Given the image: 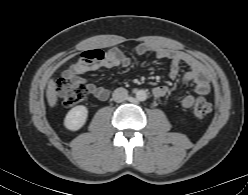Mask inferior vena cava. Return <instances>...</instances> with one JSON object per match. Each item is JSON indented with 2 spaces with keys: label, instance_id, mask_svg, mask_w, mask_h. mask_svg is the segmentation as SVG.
<instances>
[{
  "label": "inferior vena cava",
  "instance_id": "1",
  "mask_svg": "<svg viewBox=\"0 0 248 195\" xmlns=\"http://www.w3.org/2000/svg\"><path fill=\"white\" fill-rule=\"evenodd\" d=\"M113 100L117 103L123 102L128 97V91L125 88L119 87L113 92Z\"/></svg>",
  "mask_w": 248,
  "mask_h": 195
}]
</instances>
